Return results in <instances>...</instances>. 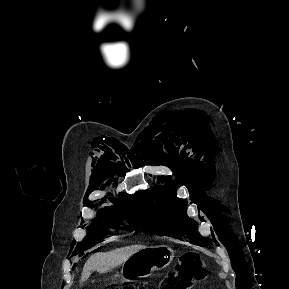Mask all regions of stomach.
Masks as SVG:
<instances>
[{"label": "stomach", "mask_w": 289, "mask_h": 289, "mask_svg": "<svg viewBox=\"0 0 289 289\" xmlns=\"http://www.w3.org/2000/svg\"><path fill=\"white\" fill-rule=\"evenodd\" d=\"M174 257V251L166 246L146 247L133 254L122 265L124 279L147 277L159 268L168 266Z\"/></svg>", "instance_id": "0dacf381"}]
</instances>
